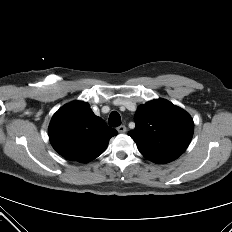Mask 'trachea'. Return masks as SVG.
Instances as JSON below:
<instances>
[{"label": "trachea", "mask_w": 232, "mask_h": 232, "mask_svg": "<svg viewBox=\"0 0 232 232\" xmlns=\"http://www.w3.org/2000/svg\"><path fill=\"white\" fill-rule=\"evenodd\" d=\"M108 123L112 127H117L121 125V117L118 112L113 111L109 116Z\"/></svg>", "instance_id": "1"}]
</instances>
